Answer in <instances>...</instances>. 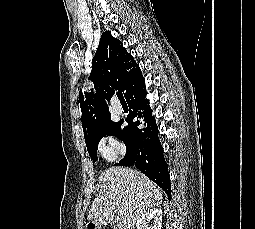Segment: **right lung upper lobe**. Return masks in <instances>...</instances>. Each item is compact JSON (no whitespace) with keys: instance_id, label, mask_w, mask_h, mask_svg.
<instances>
[{"instance_id":"cb5924a9","label":"right lung upper lobe","mask_w":255,"mask_h":229,"mask_svg":"<svg viewBox=\"0 0 255 229\" xmlns=\"http://www.w3.org/2000/svg\"><path fill=\"white\" fill-rule=\"evenodd\" d=\"M138 67L121 41L112 37L110 31L102 34L90 74L94 88L83 93L80 91L79 103L85 141L92 137L104 121L110 119L105 99L109 101L115 90L126 92L130 77Z\"/></svg>"}]
</instances>
